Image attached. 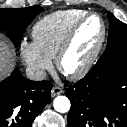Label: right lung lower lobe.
<instances>
[{
    "label": "right lung lower lobe",
    "mask_w": 127,
    "mask_h": 127,
    "mask_svg": "<svg viewBox=\"0 0 127 127\" xmlns=\"http://www.w3.org/2000/svg\"><path fill=\"white\" fill-rule=\"evenodd\" d=\"M52 84L31 81L14 70L0 82V127H31L49 103Z\"/></svg>",
    "instance_id": "obj_1"
}]
</instances>
